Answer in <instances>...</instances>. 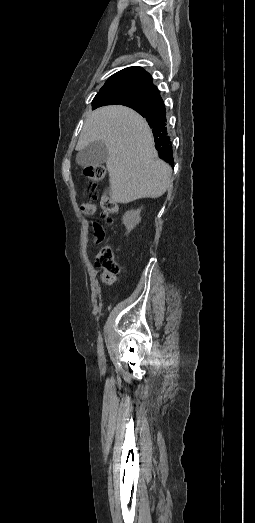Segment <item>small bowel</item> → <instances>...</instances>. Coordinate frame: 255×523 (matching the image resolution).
<instances>
[{
	"mask_svg": "<svg viewBox=\"0 0 255 523\" xmlns=\"http://www.w3.org/2000/svg\"><path fill=\"white\" fill-rule=\"evenodd\" d=\"M93 230H94V243L95 244L101 243L105 238L104 231H103L101 225L94 222Z\"/></svg>",
	"mask_w": 255,
	"mask_h": 523,
	"instance_id": "1",
	"label": "small bowel"
}]
</instances>
